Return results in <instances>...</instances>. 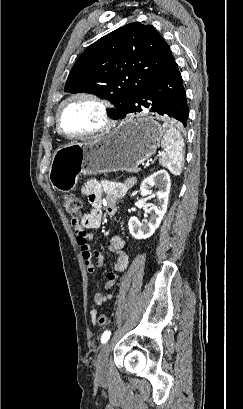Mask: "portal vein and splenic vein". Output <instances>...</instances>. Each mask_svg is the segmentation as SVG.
<instances>
[{
    "instance_id": "18ae733b",
    "label": "portal vein and splenic vein",
    "mask_w": 243,
    "mask_h": 409,
    "mask_svg": "<svg viewBox=\"0 0 243 409\" xmlns=\"http://www.w3.org/2000/svg\"><path fill=\"white\" fill-rule=\"evenodd\" d=\"M150 165V162L148 161V162H146V167H148Z\"/></svg>"
}]
</instances>
